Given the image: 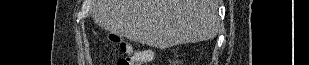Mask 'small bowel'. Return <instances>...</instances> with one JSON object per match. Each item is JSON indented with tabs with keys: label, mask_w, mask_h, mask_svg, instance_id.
<instances>
[{
	"label": "small bowel",
	"mask_w": 309,
	"mask_h": 65,
	"mask_svg": "<svg viewBox=\"0 0 309 65\" xmlns=\"http://www.w3.org/2000/svg\"><path fill=\"white\" fill-rule=\"evenodd\" d=\"M151 58H152V55L150 56V58H149V59L145 60V61L143 62V64H145V63L149 62V61L151 60Z\"/></svg>",
	"instance_id": "small-bowel-1"
}]
</instances>
